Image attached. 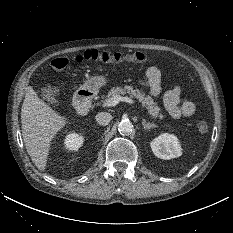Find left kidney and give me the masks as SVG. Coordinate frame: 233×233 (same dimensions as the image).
<instances>
[{"label": "left kidney", "mask_w": 233, "mask_h": 233, "mask_svg": "<svg viewBox=\"0 0 233 233\" xmlns=\"http://www.w3.org/2000/svg\"><path fill=\"white\" fill-rule=\"evenodd\" d=\"M151 149L155 156L169 160L182 155L178 138L173 134L163 133L151 142Z\"/></svg>", "instance_id": "5707ae66"}]
</instances>
